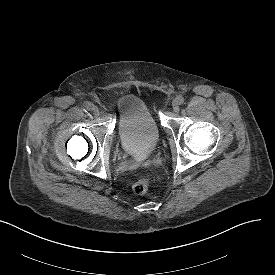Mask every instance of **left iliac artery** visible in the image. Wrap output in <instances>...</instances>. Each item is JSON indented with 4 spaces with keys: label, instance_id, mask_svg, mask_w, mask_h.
I'll list each match as a JSON object with an SVG mask.
<instances>
[{
    "label": "left iliac artery",
    "instance_id": "44dca946",
    "mask_svg": "<svg viewBox=\"0 0 275 275\" xmlns=\"http://www.w3.org/2000/svg\"><path fill=\"white\" fill-rule=\"evenodd\" d=\"M176 100L178 101L179 104L184 103V98L182 96H177Z\"/></svg>",
    "mask_w": 275,
    "mask_h": 275
}]
</instances>
